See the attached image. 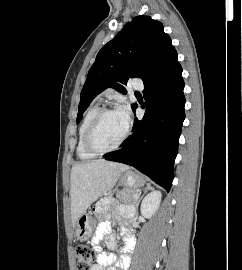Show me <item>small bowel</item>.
<instances>
[{"label":"small bowel","mask_w":242,"mask_h":270,"mask_svg":"<svg viewBox=\"0 0 242 270\" xmlns=\"http://www.w3.org/2000/svg\"><path fill=\"white\" fill-rule=\"evenodd\" d=\"M131 215L130 210L123 207L118 208V212L116 214V218L124 221L125 223L122 228L124 250L123 255L120 258H118L115 254H108L103 251L100 245L103 238H105V243L109 250H115L117 248V240L112 233L111 220L106 219L100 222L91 241L97 260V263L93 266L92 270H104L105 267H109V270L127 269L129 265V258L127 254L130 253L134 248V238L131 234L129 226Z\"/></svg>","instance_id":"c3829d8e"}]
</instances>
